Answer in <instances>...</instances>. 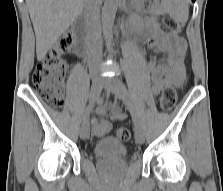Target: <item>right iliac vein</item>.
Instances as JSON below:
<instances>
[{
  "mask_svg": "<svg viewBox=\"0 0 223 191\" xmlns=\"http://www.w3.org/2000/svg\"><path fill=\"white\" fill-rule=\"evenodd\" d=\"M104 83L98 79L92 80L89 100L90 102H94L98 99L101 90L103 88ZM89 125L86 121H83L81 127H80V137L84 140L88 139L89 137Z\"/></svg>",
  "mask_w": 223,
  "mask_h": 191,
  "instance_id": "63e3f726",
  "label": "right iliac vein"
}]
</instances>
